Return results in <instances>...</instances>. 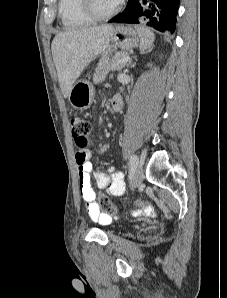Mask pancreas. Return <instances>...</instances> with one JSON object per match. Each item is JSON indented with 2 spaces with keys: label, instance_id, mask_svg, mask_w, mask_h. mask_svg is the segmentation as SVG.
<instances>
[{
  "label": "pancreas",
  "instance_id": "1",
  "mask_svg": "<svg viewBox=\"0 0 227 298\" xmlns=\"http://www.w3.org/2000/svg\"><path fill=\"white\" fill-rule=\"evenodd\" d=\"M128 54L125 52L117 53L114 56H103L95 70V73L93 75V82L94 84H97L99 82H102L109 71H121L126 63H119L116 64L123 56H127ZM116 64L115 66H113Z\"/></svg>",
  "mask_w": 227,
  "mask_h": 298
}]
</instances>
